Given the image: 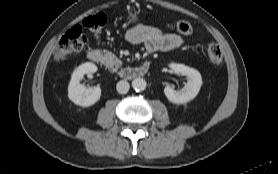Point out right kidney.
<instances>
[{
	"label": "right kidney",
	"instance_id": "ca27d5eb",
	"mask_svg": "<svg viewBox=\"0 0 278 174\" xmlns=\"http://www.w3.org/2000/svg\"><path fill=\"white\" fill-rule=\"evenodd\" d=\"M96 71L97 66L90 62L81 64L74 70L68 86V98L76 105L88 107L100 99L101 89L99 87L87 89L80 84V80L85 74H92Z\"/></svg>",
	"mask_w": 278,
	"mask_h": 174
}]
</instances>
